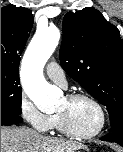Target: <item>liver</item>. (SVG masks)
<instances>
[{
	"mask_svg": "<svg viewBox=\"0 0 123 152\" xmlns=\"http://www.w3.org/2000/svg\"><path fill=\"white\" fill-rule=\"evenodd\" d=\"M80 143L44 136L27 127L1 126V152H75Z\"/></svg>",
	"mask_w": 123,
	"mask_h": 152,
	"instance_id": "6515ba94",
	"label": "liver"
}]
</instances>
